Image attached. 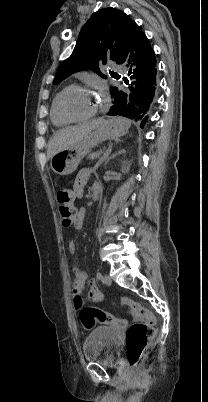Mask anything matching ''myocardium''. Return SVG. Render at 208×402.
Masks as SVG:
<instances>
[{
    "instance_id": "obj_1",
    "label": "myocardium",
    "mask_w": 208,
    "mask_h": 402,
    "mask_svg": "<svg viewBox=\"0 0 208 402\" xmlns=\"http://www.w3.org/2000/svg\"><path fill=\"white\" fill-rule=\"evenodd\" d=\"M75 89L87 90V87L85 85H79V84L70 85V86L66 87L60 93L59 98H58V108H59L62 116L65 117L66 119L70 120V121H85V120H88V119L92 118L99 111V109L104 105V103L107 102V99L105 98V95H103L101 98H99L98 104L89 113L82 114V115L71 114L65 108L64 103H63V99H64V97H65V95L67 93H69L70 91L75 90Z\"/></svg>"
}]
</instances>
